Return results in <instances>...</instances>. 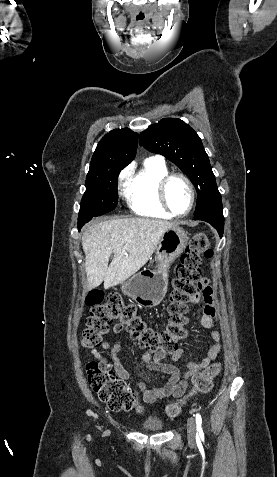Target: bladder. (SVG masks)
<instances>
[{"label": "bladder", "mask_w": 277, "mask_h": 477, "mask_svg": "<svg viewBox=\"0 0 277 477\" xmlns=\"http://www.w3.org/2000/svg\"><path fill=\"white\" fill-rule=\"evenodd\" d=\"M142 428L147 431L159 432L164 429V423L157 417H150L142 423Z\"/></svg>", "instance_id": "bladder-1"}]
</instances>
